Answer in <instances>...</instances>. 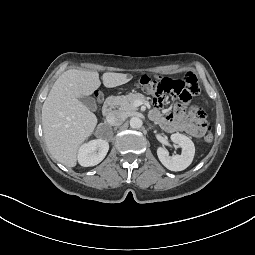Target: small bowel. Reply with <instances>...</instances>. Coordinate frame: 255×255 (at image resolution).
Masks as SVG:
<instances>
[{
  "label": "small bowel",
  "mask_w": 255,
  "mask_h": 255,
  "mask_svg": "<svg viewBox=\"0 0 255 255\" xmlns=\"http://www.w3.org/2000/svg\"><path fill=\"white\" fill-rule=\"evenodd\" d=\"M151 116L158 120L161 126L167 132H182L194 138L201 137L206 131L203 123L195 120V118L182 108H177L173 114H161L158 110H154Z\"/></svg>",
  "instance_id": "small-bowel-1"
}]
</instances>
